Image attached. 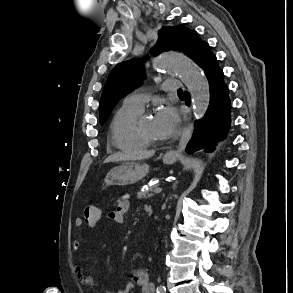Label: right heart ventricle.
<instances>
[{
	"instance_id": "1",
	"label": "right heart ventricle",
	"mask_w": 293,
	"mask_h": 293,
	"mask_svg": "<svg viewBox=\"0 0 293 293\" xmlns=\"http://www.w3.org/2000/svg\"><path fill=\"white\" fill-rule=\"evenodd\" d=\"M142 112L143 109L124 103L117 110L110 125V141L115 148L125 152L147 148L148 144L141 139L136 130V122Z\"/></svg>"
}]
</instances>
